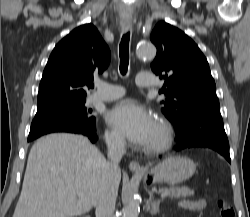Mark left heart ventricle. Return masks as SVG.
I'll return each instance as SVG.
<instances>
[{"label":"left heart ventricle","mask_w":250,"mask_h":217,"mask_svg":"<svg viewBox=\"0 0 250 217\" xmlns=\"http://www.w3.org/2000/svg\"><path fill=\"white\" fill-rule=\"evenodd\" d=\"M159 137H160V131H159L157 124H155L153 132H152L150 139L147 142L146 146H150V145H153L154 143H156L158 141Z\"/></svg>","instance_id":"left-heart-ventricle-1"}]
</instances>
